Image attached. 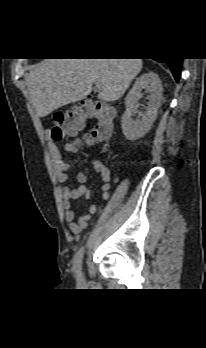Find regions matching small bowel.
Listing matches in <instances>:
<instances>
[{
	"label": "small bowel",
	"mask_w": 206,
	"mask_h": 348,
	"mask_svg": "<svg viewBox=\"0 0 206 348\" xmlns=\"http://www.w3.org/2000/svg\"><path fill=\"white\" fill-rule=\"evenodd\" d=\"M67 152H75L76 149L72 144L65 146ZM50 157L54 166L56 178L60 183H64L69 178V170L71 165L64 160L61 150L55 144L49 146ZM94 171L100 176L102 186L100 190V196L106 200L110 197V188L112 182H117L118 177L116 174L112 175V171L109 166L101 160H94L92 162ZM78 186L75 188L65 187L62 192L63 207L65 209V218L68 223L69 229L73 234L81 233L87 226L91 217L99 210V203H93L88 208L87 212L76 218L75 212L72 209V202L81 197H88L89 190L86 187L87 175L84 173L77 174Z\"/></svg>",
	"instance_id": "c3829d8e"
}]
</instances>
